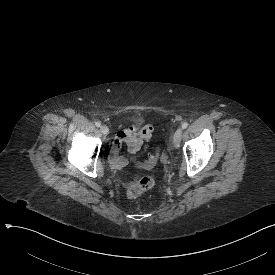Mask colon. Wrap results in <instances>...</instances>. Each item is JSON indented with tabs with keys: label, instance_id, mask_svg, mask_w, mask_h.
Returning a JSON list of instances; mask_svg holds the SVG:
<instances>
[{
	"label": "colon",
	"instance_id": "colon-1",
	"mask_svg": "<svg viewBox=\"0 0 275 275\" xmlns=\"http://www.w3.org/2000/svg\"><path fill=\"white\" fill-rule=\"evenodd\" d=\"M163 152V143L161 141H156L154 143V148L150 152V157L148 160H137L135 162V167L137 169H151L155 166L159 160V155ZM154 185V179L150 174L143 172L139 175L137 182L132 183L127 188V196L129 198H136L140 194L150 190Z\"/></svg>",
	"mask_w": 275,
	"mask_h": 275
}]
</instances>
